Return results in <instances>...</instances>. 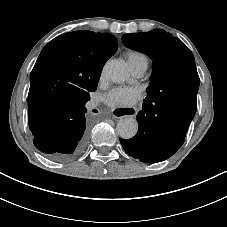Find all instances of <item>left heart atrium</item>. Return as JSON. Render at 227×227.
Segmentation results:
<instances>
[{"instance_id": "39dd6f15", "label": "left heart atrium", "mask_w": 227, "mask_h": 227, "mask_svg": "<svg viewBox=\"0 0 227 227\" xmlns=\"http://www.w3.org/2000/svg\"><path fill=\"white\" fill-rule=\"evenodd\" d=\"M142 93L134 88H115L104 96L106 104L112 107H131L141 99Z\"/></svg>"}]
</instances>
